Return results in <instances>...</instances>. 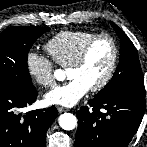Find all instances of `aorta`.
I'll return each instance as SVG.
<instances>
[{"mask_svg": "<svg viewBox=\"0 0 147 147\" xmlns=\"http://www.w3.org/2000/svg\"><path fill=\"white\" fill-rule=\"evenodd\" d=\"M54 77L62 81L64 79V73L62 70H56ZM59 125L64 130H73L77 125V118L71 113H64L59 117Z\"/></svg>", "mask_w": 147, "mask_h": 147, "instance_id": "obj_1", "label": "aorta"}]
</instances>
